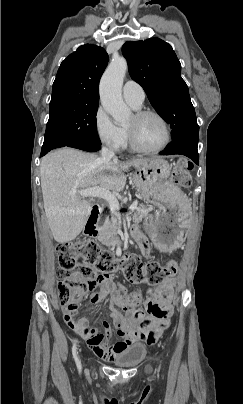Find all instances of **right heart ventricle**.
<instances>
[{"mask_svg":"<svg viewBox=\"0 0 243 404\" xmlns=\"http://www.w3.org/2000/svg\"><path fill=\"white\" fill-rule=\"evenodd\" d=\"M132 108H134V109H139L140 107H134L133 105H131V104H129ZM124 131V135H125V141H124V146H123V149L124 150H127V151H129V152H137V150L136 149H134L133 147H132V145L130 144V142H129V139H128V137H127V134H126V132H125V130H123Z\"/></svg>","mask_w":243,"mask_h":404,"instance_id":"e07e8e85","label":"right heart ventricle"}]
</instances>
